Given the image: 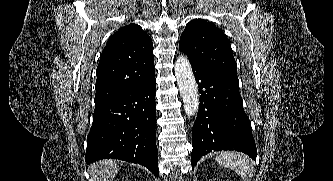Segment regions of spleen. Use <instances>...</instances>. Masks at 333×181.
Instances as JSON below:
<instances>
[{
    "label": "spleen",
    "instance_id": "3e777b00",
    "mask_svg": "<svg viewBox=\"0 0 333 181\" xmlns=\"http://www.w3.org/2000/svg\"><path fill=\"white\" fill-rule=\"evenodd\" d=\"M215 160L219 165L226 168H230L244 181H247L248 178L252 177L253 169L251 167L249 159L242 153L237 152H221L219 153Z\"/></svg>",
    "mask_w": 333,
    "mask_h": 181
}]
</instances>
